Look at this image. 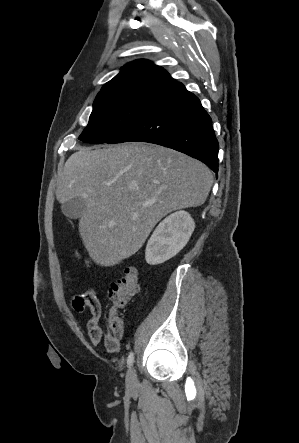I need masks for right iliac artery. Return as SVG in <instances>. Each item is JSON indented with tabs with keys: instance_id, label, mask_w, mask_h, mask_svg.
<instances>
[{
	"instance_id": "1",
	"label": "right iliac artery",
	"mask_w": 299,
	"mask_h": 443,
	"mask_svg": "<svg viewBox=\"0 0 299 443\" xmlns=\"http://www.w3.org/2000/svg\"><path fill=\"white\" fill-rule=\"evenodd\" d=\"M133 362H134V353L131 352V353L129 354L128 358H127V364H128V366H129V367L132 366Z\"/></svg>"
}]
</instances>
